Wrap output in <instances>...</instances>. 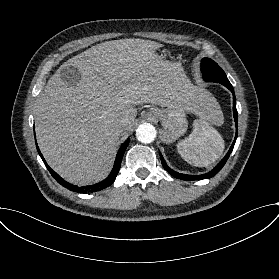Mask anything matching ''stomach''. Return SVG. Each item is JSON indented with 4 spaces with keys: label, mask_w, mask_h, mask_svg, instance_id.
<instances>
[{
    "label": "stomach",
    "mask_w": 279,
    "mask_h": 279,
    "mask_svg": "<svg viewBox=\"0 0 279 279\" xmlns=\"http://www.w3.org/2000/svg\"><path fill=\"white\" fill-rule=\"evenodd\" d=\"M160 107L151 108L147 117L161 121L163 127L161 140L169 144L185 134L188 127L186 114L191 110L181 100L180 91L171 93L168 97V103L160 105Z\"/></svg>",
    "instance_id": "0dacf381"
}]
</instances>
